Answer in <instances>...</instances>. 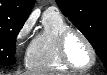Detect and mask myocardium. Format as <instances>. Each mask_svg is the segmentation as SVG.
Listing matches in <instances>:
<instances>
[{
    "instance_id": "myocardium-1",
    "label": "myocardium",
    "mask_w": 107,
    "mask_h": 75,
    "mask_svg": "<svg viewBox=\"0 0 107 75\" xmlns=\"http://www.w3.org/2000/svg\"><path fill=\"white\" fill-rule=\"evenodd\" d=\"M76 34L78 35L87 45L89 48V51L91 53V62L84 67H80L75 65L69 58L68 53H67V41L70 35ZM58 52L60 59L62 63L67 66L69 69L76 70V71H88L90 70L96 62V51L91 43V41L88 39V37L80 30L72 27H67L65 28L59 35L58 38Z\"/></svg>"
}]
</instances>
